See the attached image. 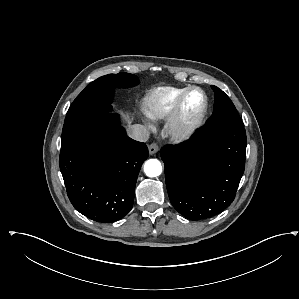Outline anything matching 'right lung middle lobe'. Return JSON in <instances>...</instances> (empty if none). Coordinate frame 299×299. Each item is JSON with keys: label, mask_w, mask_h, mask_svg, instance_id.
Returning <instances> with one entry per match:
<instances>
[{"label": "right lung middle lobe", "mask_w": 299, "mask_h": 299, "mask_svg": "<svg viewBox=\"0 0 299 299\" xmlns=\"http://www.w3.org/2000/svg\"><path fill=\"white\" fill-rule=\"evenodd\" d=\"M139 83L135 75L129 73L109 74L90 83L74 100L65 118L61 146L86 126L96 121L112 109L113 90L127 88Z\"/></svg>", "instance_id": "right-lung-middle-lobe-1"}]
</instances>
